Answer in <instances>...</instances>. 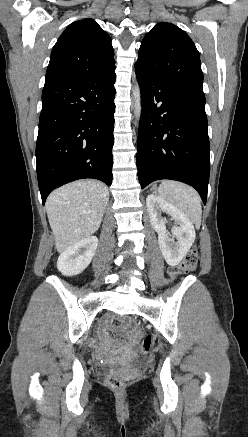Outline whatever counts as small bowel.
Returning a JSON list of instances; mask_svg holds the SVG:
<instances>
[{"label":"small bowel","instance_id":"obj_1","mask_svg":"<svg viewBox=\"0 0 248 437\" xmlns=\"http://www.w3.org/2000/svg\"><path fill=\"white\" fill-rule=\"evenodd\" d=\"M124 331L128 332V337L126 342L124 343H116L114 346H112L111 341H107L106 344V351L107 352H111L112 349H116V350H127L129 348H131L137 341V337L138 334L135 330L131 329V324L129 322H127L124 326H123Z\"/></svg>","mask_w":248,"mask_h":437}]
</instances>
